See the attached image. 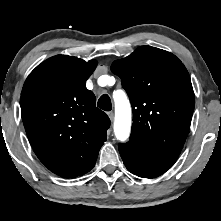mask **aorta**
I'll list each match as a JSON object with an SVG mask.
<instances>
[{
  "label": "aorta",
  "mask_w": 221,
  "mask_h": 221,
  "mask_svg": "<svg viewBox=\"0 0 221 221\" xmlns=\"http://www.w3.org/2000/svg\"><path fill=\"white\" fill-rule=\"evenodd\" d=\"M131 130V108L128 100L124 96L115 100V121L114 132L116 138L121 142L126 141Z\"/></svg>",
  "instance_id": "obj_1"
}]
</instances>
